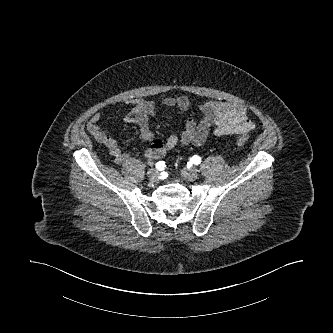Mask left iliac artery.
<instances>
[{
    "label": "left iliac artery",
    "instance_id": "1",
    "mask_svg": "<svg viewBox=\"0 0 333 333\" xmlns=\"http://www.w3.org/2000/svg\"><path fill=\"white\" fill-rule=\"evenodd\" d=\"M191 162L195 165H198L201 163V158L198 156V155H194L192 158H191Z\"/></svg>",
    "mask_w": 333,
    "mask_h": 333
}]
</instances>
